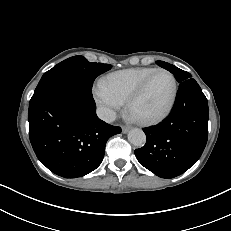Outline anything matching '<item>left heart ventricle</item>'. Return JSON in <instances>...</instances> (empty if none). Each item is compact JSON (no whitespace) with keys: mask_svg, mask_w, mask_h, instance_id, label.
Listing matches in <instances>:
<instances>
[{"mask_svg":"<svg viewBox=\"0 0 231 231\" xmlns=\"http://www.w3.org/2000/svg\"><path fill=\"white\" fill-rule=\"evenodd\" d=\"M173 92V83L169 75L158 73L154 76L143 96L131 109L137 118H149L160 114L168 105Z\"/></svg>","mask_w":231,"mask_h":231,"instance_id":"1","label":"left heart ventricle"}]
</instances>
